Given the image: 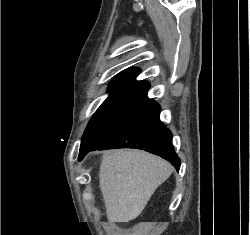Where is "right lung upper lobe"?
<instances>
[{
	"mask_svg": "<svg viewBox=\"0 0 250 235\" xmlns=\"http://www.w3.org/2000/svg\"><path fill=\"white\" fill-rule=\"evenodd\" d=\"M140 69L130 68L118 74L109 85V97L132 98L149 86L146 81H136ZM108 97V98H109Z\"/></svg>",
	"mask_w": 250,
	"mask_h": 235,
	"instance_id": "cb5924a9",
	"label": "right lung upper lobe"
}]
</instances>
